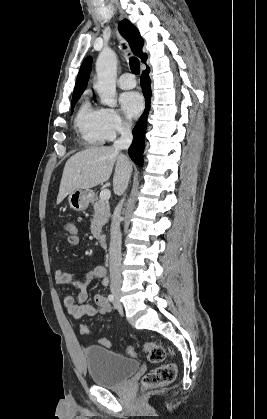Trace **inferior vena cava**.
<instances>
[{"label": "inferior vena cava", "instance_id": "obj_1", "mask_svg": "<svg viewBox=\"0 0 267 419\" xmlns=\"http://www.w3.org/2000/svg\"><path fill=\"white\" fill-rule=\"evenodd\" d=\"M120 133V138L116 140L113 144V148L117 151L120 150H127L132 143V132H131V123L124 122L121 127L118 129ZM130 178V174H128L125 178V181L122 186L121 194L124 193L128 186V181ZM124 202V198L119 202L117 205L113 220L111 223V238H110V247H109V270H110V278H111V285L110 288L112 291L120 289L121 287V243H122V235L120 231V213L122 209V205Z\"/></svg>", "mask_w": 267, "mask_h": 419}]
</instances>
